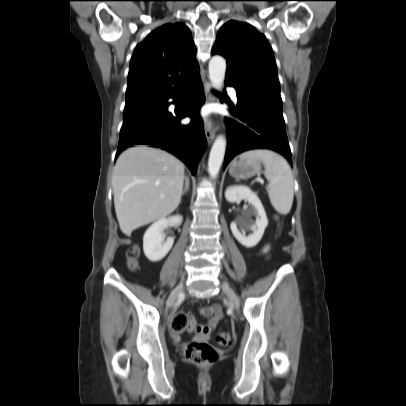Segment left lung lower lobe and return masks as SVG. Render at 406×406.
<instances>
[{
	"instance_id": "left-lung-lower-lobe-1",
	"label": "left lung lower lobe",
	"mask_w": 406,
	"mask_h": 406,
	"mask_svg": "<svg viewBox=\"0 0 406 406\" xmlns=\"http://www.w3.org/2000/svg\"><path fill=\"white\" fill-rule=\"evenodd\" d=\"M236 91L238 104L236 107L230 105L229 110L236 120L225 118L229 131L224 168L234 156L251 149L274 150L282 154L292 165L282 104L263 98L248 97L237 89Z\"/></svg>"
}]
</instances>
